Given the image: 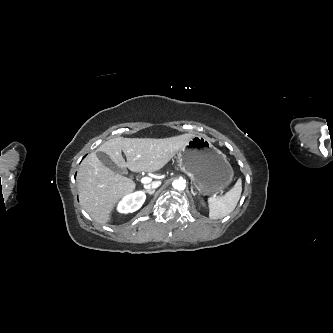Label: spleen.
Listing matches in <instances>:
<instances>
[{
  "mask_svg": "<svg viewBox=\"0 0 333 333\" xmlns=\"http://www.w3.org/2000/svg\"><path fill=\"white\" fill-rule=\"evenodd\" d=\"M242 192V182L238 179L234 187L223 196H212L208 199L209 218L221 219L229 215L237 206Z\"/></svg>",
  "mask_w": 333,
  "mask_h": 333,
  "instance_id": "1",
  "label": "spleen"
}]
</instances>
